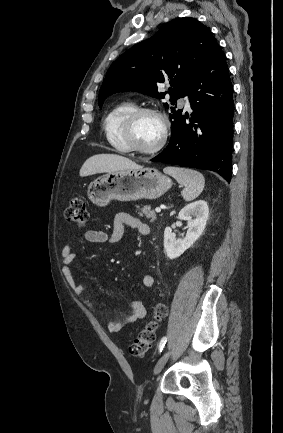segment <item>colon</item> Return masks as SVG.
Instances as JSON below:
<instances>
[{
  "mask_svg": "<svg viewBox=\"0 0 283 433\" xmlns=\"http://www.w3.org/2000/svg\"><path fill=\"white\" fill-rule=\"evenodd\" d=\"M65 219L67 222L80 228L87 224L88 211L84 196L78 194L71 198L65 212ZM166 313L165 304L158 302L154 308L153 318L146 323L130 344L129 351L133 356H143L149 351L155 340L158 323L166 316Z\"/></svg>",
  "mask_w": 283,
  "mask_h": 433,
  "instance_id": "1",
  "label": "colon"
}]
</instances>
